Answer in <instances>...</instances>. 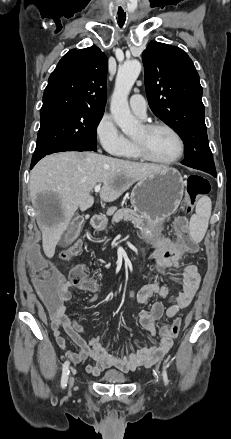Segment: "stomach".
Listing matches in <instances>:
<instances>
[{
	"mask_svg": "<svg viewBox=\"0 0 231 439\" xmlns=\"http://www.w3.org/2000/svg\"><path fill=\"white\" fill-rule=\"evenodd\" d=\"M184 181L181 173L170 167L141 179L131 192V204L145 217L142 235L153 239L161 230L162 223L179 207L183 197Z\"/></svg>",
	"mask_w": 231,
	"mask_h": 439,
	"instance_id": "obj_1",
	"label": "stomach"
}]
</instances>
